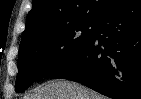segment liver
Masks as SVG:
<instances>
[{"label": "liver", "instance_id": "6515ba94", "mask_svg": "<svg viewBox=\"0 0 141 99\" xmlns=\"http://www.w3.org/2000/svg\"><path fill=\"white\" fill-rule=\"evenodd\" d=\"M26 99H107L105 96L67 80H53L39 86Z\"/></svg>", "mask_w": 141, "mask_h": 99}]
</instances>
